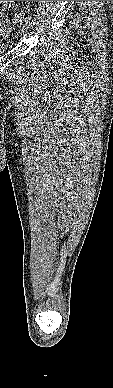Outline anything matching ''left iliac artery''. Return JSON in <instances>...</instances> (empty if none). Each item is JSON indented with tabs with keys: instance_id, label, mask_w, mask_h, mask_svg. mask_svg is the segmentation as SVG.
I'll list each match as a JSON object with an SVG mask.
<instances>
[{
	"instance_id": "44dca946",
	"label": "left iliac artery",
	"mask_w": 113,
	"mask_h": 388,
	"mask_svg": "<svg viewBox=\"0 0 113 388\" xmlns=\"http://www.w3.org/2000/svg\"><path fill=\"white\" fill-rule=\"evenodd\" d=\"M25 22L30 24L33 22V19L31 17H26Z\"/></svg>"
}]
</instances>
